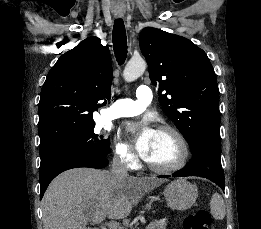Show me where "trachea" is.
Segmentation results:
<instances>
[{
  "label": "trachea",
  "instance_id": "obj_1",
  "mask_svg": "<svg viewBox=\"0 0 261 229\" xmlns=\"http://www.w3.org/2000/svg\"><path fill=\"white\" fill-rule=\"evenodd\" d=\"M113 48L117 62L121 65L125 62L128 46L124 22L121 18H117L113 26Z\"/></svg>",
  "mask_w": 261,
  "mask_h": 229
}]
</instances>
